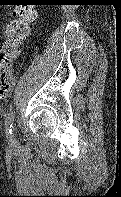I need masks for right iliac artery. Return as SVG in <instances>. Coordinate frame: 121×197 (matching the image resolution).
Returning <instances> with one entry per match:
<instances>
[{
    "mask_svg": "<svg viewBox=\"0 0 121 197\" xmlns=\"http://www.w3.org/2000/svg\"><path fill=\"white\" fill-rule=\"evenodd\" d=\"M13 122H14V113L10 112L7 116L6 123H5L7 136L12 135Z\"/></svg>",
    "mask_w": 121,
    "mask_h": 197,
    "instance_id": "82829eb1",
    "label": "right iliac artery"
}]
</instances>
